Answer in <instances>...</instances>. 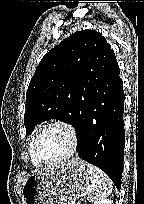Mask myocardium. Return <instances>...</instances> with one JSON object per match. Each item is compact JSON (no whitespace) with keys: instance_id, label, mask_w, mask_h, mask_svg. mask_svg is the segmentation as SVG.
<instances>
[{"instance_id":"myocardium-1","label":"myocardium","mask_w":144,"mask_h":204,"mask_svg":"<svg viewBox=\"0 0 144 204\" xmlns=\"http://www.w3.org/2000/svg\"><path fill=\"white\" fill-rule=\"evenodd\" d=\"M52 127L61 128L67 132V134L70 137V149L63 157L56 160L46 161L41 159L37 153V142L40 135L45 130ZM78 146H79V134L76 127L72 123L65 120H52L46 123L45 125H43L40 129H38V131L34 135L33 142H32V155L35 158V160L41 165H56V164L63 163L69 160L71 157H73L78 150Z\"/></svg>"}]
</instances>
